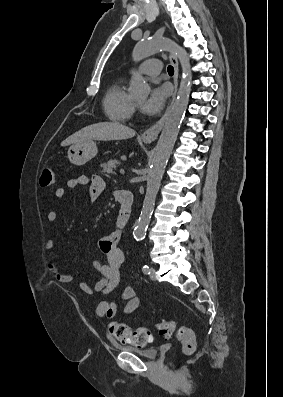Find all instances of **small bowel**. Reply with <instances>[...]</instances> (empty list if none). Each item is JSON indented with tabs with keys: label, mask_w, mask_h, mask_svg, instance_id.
<instances>
[{
	"label": "small bowel",
	"mask_w": 283,
	"mask_h": 397,
	"mask_svg": "<svg viewBox=\"0 0 283 397\" xmlns=\"http://www.w3.org/2000/svg\"><path fill=\"white\" fill-rule=\"evenodd\" d=\"M89 185V195L91 201H95L105 189L103 179L97 175L88 178L85 175L78 176L68 180V188L84 187ZM119 191L115 192L116 199ZM66 195V189L59 187L55 190L57 198H63ZM47 220L50 223H55L58 220L56 211H50L47 214ZM100 250L106 256V263L100 261H93L92 266L101 274V278L94 284L88 285L84 281H79V288L88 295L99 294L102 298L97 305L96 314L100 318L112 319L117 313V302L115 300H108L105 297L112 293L119 285L121 279V267L125 260L124 253L120 248V233L114 231L99 241ZM47 251V267L54 278L60 283H71L75 281V277L71 274L65 273L55 257V246L52 239H48L45 245ZM119 299L125 301L124 314L130 315L140 305V300L137 297L136 290L132 286H125L119 293Z\"/></svg>",
	"instance_id": "c3829d8e"
}]
</instances>
